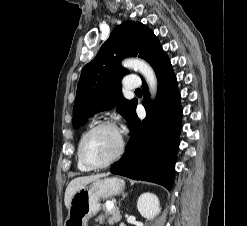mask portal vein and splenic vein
<instances>
[{
	"instance_id": "18ae733b",
	"label": "portal vein and splenic vein",
	"mask_w": 247,
	"mask_h": 226,
	"mask_svg": "<svg viewBox=\"0 0 247 226\" xmlns=\"http://www.w3.org/2000/svg\"><path fill=\"white\" fill-rule=\"evenodd\" d=\"M113 206H114L113 203H111V204H110V208H113Z\"/></svg>"
}]
</instances>
